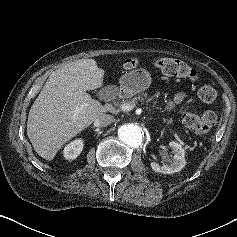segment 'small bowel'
Returning <instances> with one entry per match:
<instances>
[{"label": "small bowel", "mask_w": 237, "mask_h": 237, "mask_svg": "<svg viewBox=\"0 0 237 237\" xmlns=\"http://www.w3.org/2000/svg\"><path fill=\"white\" fill-rule=\"evenodd\" d=\"M187 95L185 92L177 93L172 100L169 101L167 108L172 109L174 106L182 103L186 99Z\"/></svg>", "instance_id": "1"}]
</instances>
